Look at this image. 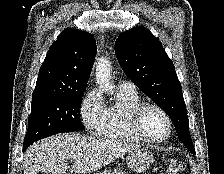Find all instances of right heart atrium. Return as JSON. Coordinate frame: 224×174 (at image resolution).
Returning <instances> with one entry per match:
<instances>
[{"instance_id": "1", "label": "right heart atrium", "mask_w": 224, "mask_h": 174, "mask_svg": "<svg viewBox=\"0 0 224 174\" xmlns=\"http://www.w3.org/2000/svg\"><path fill=\"white\" fill-rule=\"evenodd\" d=\"M104 102L97 89L90 90L82 100L80 115L86 129L98 134L104 119Z\"/></svg>"}]
</instances>
